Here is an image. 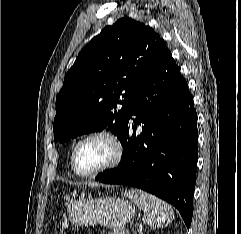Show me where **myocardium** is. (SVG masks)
<instances>
[{
  "instance_id": "myocardium-1",
  "label": "myocardium",
  "mask_w": 241,
  "mask_h": 234,
  "mask_svg": "<svg viewBox=\"0 0 241 234\" xmlns=\"http://www.w3.org/2000/svg\"><path fill=\"white\" fill-rule=\"evenodd\" d=\"M99 137L105 138L112 145L113 156H112L111 160L109 162H107L106 164H104L103 166L97 168L94 171L87 172V173L80 172L76 167V153H77L78 148L85 141H87L89 139H93V138H99ZM123 154H124V146H123L121 139L116 134H114L113 132H111L107 129H98V130H94L92 132L85 134L75 143V145L72 149V152H71L70 165H71L73 172L77 176H80L83 178H91V177H95V176L119 165V163L121 162V160L123 158Z\"/></svg>"
}]
</instances>
